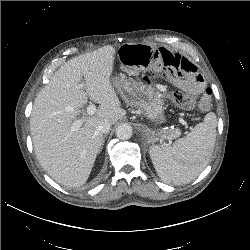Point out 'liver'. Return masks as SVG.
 <instances>
[{
  "mask_svg": "<svg viewBox=\"0 0 250 250\" xmlns=\"http://www.w3.org/2000/svg\"><path fill=\"white\" fill-rule=\"evenodd\" d=\"M114 54L107 45L67 61L34 101L30 130L35 154L61 185L74 188L86 183L103 142L98 125L114 124L126 114L111 81ZM88 98L99 104L90 116L81 110ZM81 113L84 124L73 131L71 125Z\"/></svg>",
  "mask_w": 250,
  "mask_h": 250,
  "instance_id": "1",
  "label": "liver"
}]
</instances>
